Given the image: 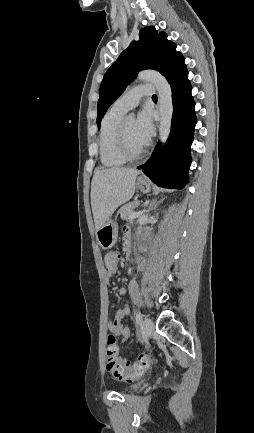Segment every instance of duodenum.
Listing matches in <instances>:
<instances>
[{
    "label": "duodenum",
    "mask_w": 254,
    "mask_h": 433,
    "mask_svg": "<svg viewBox=\"0 0 254 433\" xmlns=\"http://www.w3.org/2000/svg\"><path fill=\"white\" fill-rule=\"evenodd\" d=\"M131 247H132V241H131V238L129 237L126 241V248L129 251L131 249Z\"/></svg>",
    "instance_id": "obj_1"
}]
</instances>
